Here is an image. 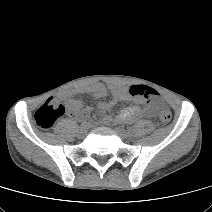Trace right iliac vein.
Wrapping results in <instances>:
<instances>
[{
	"label": "right iliac vein",
	"mask_w": 212,
	"mask_h": 212,
	"mask_svg": "<svg viewBox=\"0 0 212 212\" xmlns=\"http://www.w3.org/2000/svg\"><path fill=\"white\" fill-rule=\"evenodd\" d=\"M86 132H87V126H81L79 127L77 134L78 136L83 137L86 134Z\"/></svg>",
	"instance_id": "63e3f726"
}]
</instances>
